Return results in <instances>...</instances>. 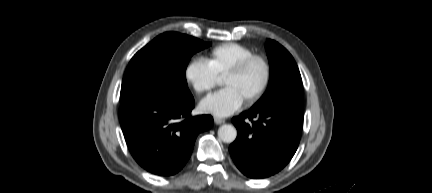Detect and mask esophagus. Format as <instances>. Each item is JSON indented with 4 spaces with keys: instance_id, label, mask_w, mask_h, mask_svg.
I'll use <instances>...</instances> for the list:
<instances>
[{
    "instance_id": "1",
    "label": "esophagus",
    "mask_w": 432,
    "mask_h": 193,
    "mask_svg": "<svg viewBox=\"0 0 432 193\" xmlns=\"http://www.w3.org/2000/svg\"><path fill=\"white\" fill-rule=\"evenodd\" d=\"M217 122H222V120H220V119H215Z\"/></svg>"
}]
</instances>
